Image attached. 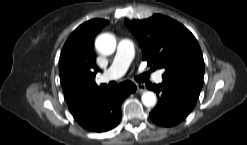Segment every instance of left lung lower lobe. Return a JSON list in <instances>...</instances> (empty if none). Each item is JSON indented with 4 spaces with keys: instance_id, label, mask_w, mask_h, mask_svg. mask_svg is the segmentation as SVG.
Masks as SVG:
<instances>
[{
    "instance_id": "obj_1",
    "label": "left lung lower lobe",
    "mask_w": 247,
    "mask_h": 145,
    "mask_svg": "<svg viewBox=\"0 0 247 145\" xmlns=\"http://www.w3.org/2000/svg\"><path fill=\"white\" fill-rule=\"evenodd\" d=\"M146 86L159 97L150 117L154 123L163 127L174 126L184 120L195 107L201 91L173 79H163L158 85L147 83Z\"/></svg>"
}]
</instances>
